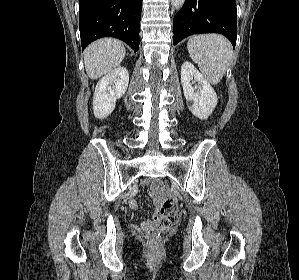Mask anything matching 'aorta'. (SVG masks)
Returning <instances> with one entry per match:
<instances>
[{"mask_svg":"<svg viewBox=\"0 0 299 280\" xmlns=\"http://www.w3.org/2000/svg\"><path fill=\"white\" fill-rule=\"evenodd\" d=\"M185 0H171L172 6L174 9H181L184 5Z\"/></svg>","mask_w":299,"mask_h":280,"instance_id":"1","label":"aorta"}]
</instances>
